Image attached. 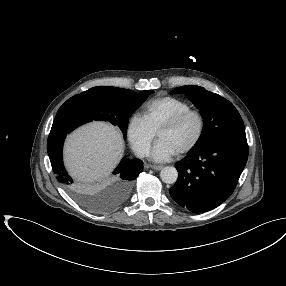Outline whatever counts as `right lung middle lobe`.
Masks as SVG:
<instances>
[{"label":"right lung middle lobe","instance_id":"1","mask_svg":"<svg viewBox=\"0 0 286 286\" xmlns=\"http://www.w3.org/2000/svg\"><path fill=\"white\" fill-rule=\"evenodd\" d=\"M153 92L148 90L136 93L117 87H94L68 99L59 108L53 123L62 129L72 131L92 120L108 121L113 125H118L126 138L129 117ZM131 187L126 196L121 195L123 191L122 188L120 189V201L128 197ZM80 201L95 211L106 209L105 204L97 199L80 197Z\"/></svg>","mask_w":286,"mask_h":286}]
</instances>
